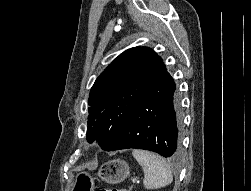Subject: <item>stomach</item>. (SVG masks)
<instances>
[{"label":"stomach","instance_id":"obj_1","mask_svg":"<svg viewBox=\"0 0 251 191\" xmlns=\"http://www.w3.org/2000/svg\"><path fill=\"white\" fill-rule=\"evenodd\" d=\"M129 173V165L124 159H110L102 163L98 169L99 177L107 183H119L126 179ZM73 189L74 191H94V177L87 171H80L76 175Z\"/></svg>","mask_w":251,"mask_h":191}]
</instances>
